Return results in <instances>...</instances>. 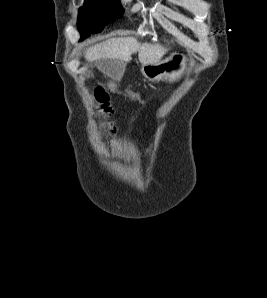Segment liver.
Masks as SVG:
<instances>
[{"label": "liver", "mask_w": 267, "mask_h": 298, "mask_svg": "<svg viewBox=\"0 0 267 298\" xmlns=\"http://www.w3.org/2000/svg\"><path fill=\"white\" fill-rule=\"evenodd\" d=\"M168 49L160 44L139 43L134 37L108 39L90 47L85 53L89 62L100 59L131 61V55L138 52V59L142 65L156 64L161 61Z\"/></svg>", "instance_id": "liver-1"}]
</instances>
